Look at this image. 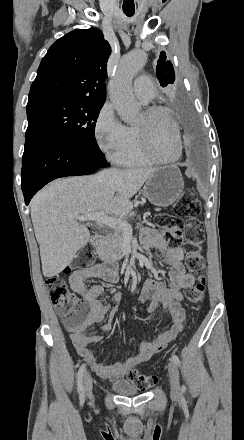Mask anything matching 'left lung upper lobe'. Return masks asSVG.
Masks as SVG:
<instances>
[{"label": "left lung upper lobe", "mask_w": 244, "mask_h": 440, "mask_svg": "<svg viewBox=\"0 0 244 440\" xmlns=\"http://www.w3.org/2000/svg\"><path fill=\"white\" fill-rule=\"evenodd\" d=\"M156 76L162 87H166L175 82V73L173 65L170 61H167L164 52H161L160 58L157 61Z\"/></svg>", "instance_id": "left-lung-upper-lobe-1"}]
</instances>
